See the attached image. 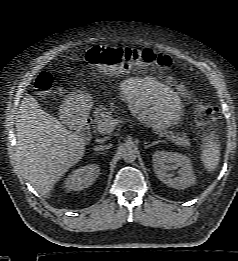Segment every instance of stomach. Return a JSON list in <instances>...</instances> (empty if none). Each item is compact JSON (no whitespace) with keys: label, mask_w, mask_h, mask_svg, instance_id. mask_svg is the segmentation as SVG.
I'll return each mask as SVG.
<instances>
[{"label":"stomach","mask_w":238,"mask_h":261,"mask_svg":"<svg viewBox=\"0 0 238 261\" xmlns=\"http://www.w3.org/2000/svg\"><path fill=\"white\" fill-rule=\"evenodd\" d=\"M93 105L92 97L85 91L77 90L70 94L64 102L65 110L73 115H84L91 109Z\"/></svg>","instance_id":"stomach-1"}]
</instances>
